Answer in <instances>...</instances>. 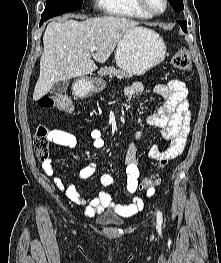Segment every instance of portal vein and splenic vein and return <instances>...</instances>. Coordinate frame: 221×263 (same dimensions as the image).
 Masks as SVG:
<instances>
[{
    "label": "portal vein and splenic vein",
    "mask_w": 221,
    "mask_h": 263,
    "mask_svg": "<svg viewBox=\"0 0 221 263\" xmlns=\"http://www.w3.org/2000/svg\"><path fill=\"white\" fill-rule=\"evenodd\" d=\"M96 50V46H92L91 48H90V52H94Z\"/></svg>",
    "instance_id": "portal-vein-and-splenic-vein-1"
}]
</instances>
